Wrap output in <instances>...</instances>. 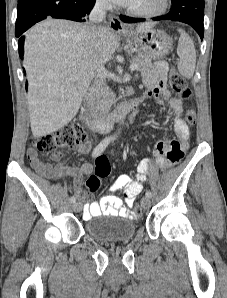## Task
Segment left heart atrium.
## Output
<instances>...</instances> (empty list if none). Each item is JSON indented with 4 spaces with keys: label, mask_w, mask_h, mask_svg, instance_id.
Instances as JSON below:
<instances>
[{
    "label": "left heart atrium",
    "mask_w": 227,
    "mask_h": 298,
    "mask_svg": "<svg viewBox=\"0 0 227 298\" xmlns=\"http://www.w3.org/2000/svg\"><path fill=\"white\" fill-rule=\"evenodd\" d=\"M116 4L122 5V6H132L135 0H110Z\"/></svg>",
    "instance_id": "obj_1"
}]
</instances>
